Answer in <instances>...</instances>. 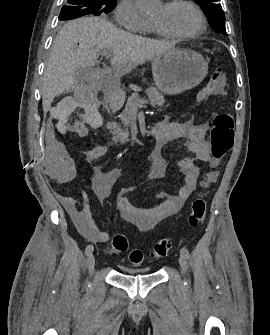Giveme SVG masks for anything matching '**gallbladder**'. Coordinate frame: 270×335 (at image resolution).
<instances>
[{"label":"gallbladder","mask_w":270,"mask_h":335,"mask_svg":"<svg viewBox=\"0 0 270 335\" xmlns=\"http://www.w3.org/2000/svg\"><path fill=\"white\" fill-rule=\"evenodd\" d=\"M81 74H82L81 70H76V76H75V78H78V80H80Z\"/></svg>","instance_id":"1"}]
</instances>
